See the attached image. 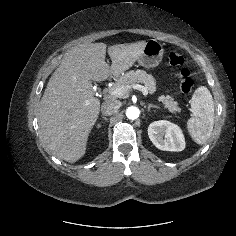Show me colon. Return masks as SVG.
Here are the masks:
<instances>
[{
    "instance_id": "colon-1",
    "label": "colon",
    "mask_w": 236,
    "mask_h": 236,
    "mask_svg": "<svg viewBox=\"0 0 236 236\" xmlns=\"http://www.w3.org/2000/svg\"><path fill=\"white\" fill-rule=\"evenodd\" d=\"M168 60L172 66L179 68L176 73V78L179 82L181 92L185 94L190 93L193 89L194 82L189 69L184 66L185 59L183 55L177 51H171L168 55Z\"/></svg>"
}]
</instances>
